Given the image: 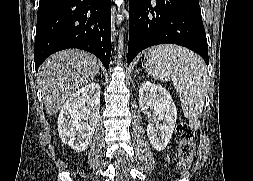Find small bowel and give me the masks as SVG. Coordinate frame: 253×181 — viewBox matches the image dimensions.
<instances>
[{
    "mask_svg": "<svg viewBox=\"0 0 253 181\" xmlns=\"http://www.w3.org/2000/svg\"><path fill=\"white\" fill-rule=\"evenodd\" d=\"M164 162H165V163H168V162H169L168 156H165V157H164Z\"/></svg>",
    "mask_w": 253,
    "mask_h": 181,
    "instance_id": "obj_1",
    "label": "small bowel"
}]
</instances>
